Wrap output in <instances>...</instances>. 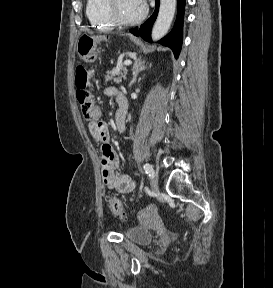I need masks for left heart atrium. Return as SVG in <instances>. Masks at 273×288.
I'll return each instance as SVG.
<instances>
[{
	"label": "left heart atrium",
	"instance_id": "left-heart-atrium-1",
	"mask_svg": "<svg viewBox=\"0 0 273 288\" xmlns=\"http://www.w3.org/2000/svg\"><path fill=\"white\" fill-rule=\"evenodd\" d=\"M139 2H140L143 6H145L146 0H139Z\"/></svg>",
	"mask_w": 273,
	"mask_h": 288
}]
</instances>
